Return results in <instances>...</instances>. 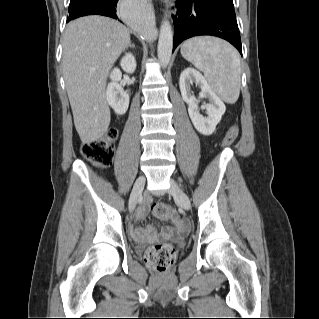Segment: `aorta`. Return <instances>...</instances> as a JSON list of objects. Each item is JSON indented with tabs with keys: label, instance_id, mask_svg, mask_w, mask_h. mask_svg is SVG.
Here are the masks:
<instances>
[{
	"label": "aorta",
	"instance_id": "aorta-1",
	"mask_svg": "<svg viewBox=\"0 0 319 319\" xmlns=\"http://www.w3.org/2000/svg\"><path fill=\"white\" fill-rule=\"evenodd\" d=\"M138 28L142 33H146L148 31L149 26L140 21L138 24ZM173 48V35H172V27L168 20H164L160 27L159 41H158V59L160 64L163 67H166L171 58Z\"/></svg>",
	"mask_w": 319,
	"mask_h": 319
}]
</instances>
